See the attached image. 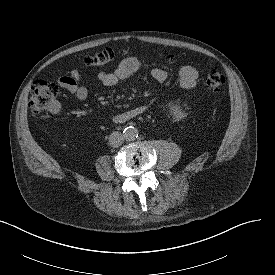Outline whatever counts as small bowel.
Instances as JSON below:
<instances>
[{"label":"small bowel","mask_w":275,"mask_h":275,"mask_svg":"<svg viewBox=\"0 0 275 275\" xmlns=\"http://www.w3.org/2000/svg\"><path fill=\"white\" fill-rule=\"evenodd\" d=\"M139 67L140 62L136 57H126L113 70L100 72L97 76V82L101 87H114L122 79L135 74ZM151 75L159 84H165L168 80L167 71L160 67L152 68ZM178 76L179 84L182 88L192 89L197 84L199 74L197 69L193 66L185 65L179 69ZM57 82L60 87L67 90L77 100H85L89 95V89L82 82L81 73L77 69L71 70L67 75H62ZM151 102L152 99L121 112L115 116V120L117 122H125L136 118L148 109ZM53 111L57 112L58 108H53Z\"/></svg>","instance_id":"c3829d8e"}]
</instances>
